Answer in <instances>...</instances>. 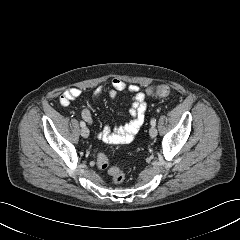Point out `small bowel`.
I'll list each match as a JSON object with an SVG mask.
<instances>
[{"mask_svg":"<svg viewBox=\"0 0 240 240\" xmlns=\"http://www.w3.org/2000/svg\"><path fill=\"white\" fill-rule=\"evenodd\" d=\"M127 91L132 94L131 106L129 114L131 120L123 126L110 128L105 126L99 133L98 137L109 144H125L131 142L139 132L145 120L146 101L145 94L138 85H127L124 81L114 78L111 81L109 88L99 87L92 95L93 99H98L105 94H108L112 99L117 97L119 92ZM81 96V90L78 88H69L60 96V104L67 106L72 100L78 99ZM82 118L91 124L93 121L92 113L88 108L83 109Z\"/></svg>","mask_w":240,"mask_h":240,"instance_id":"1","label":"small bowel"}]
</instances>
